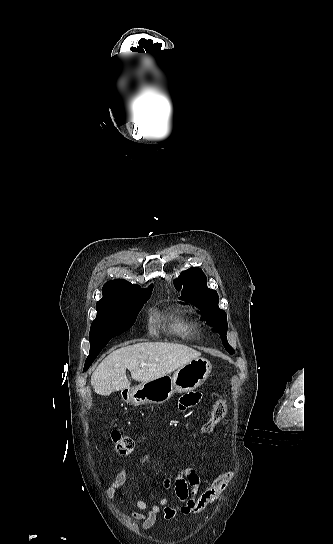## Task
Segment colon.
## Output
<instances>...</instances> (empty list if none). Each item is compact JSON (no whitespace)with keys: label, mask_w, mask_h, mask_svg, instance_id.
Listing matches in <instances>:
<instances>
[{"label":"colon","mask_w":333,"mask_h":544,"mask_svg":"<svg viewBox=\"0 0 333 544\" xmlns=\"http://www.w3.org/2000/svg\"><path fill=\"white\" fill-rule=\"evenodd\" d=\"M227 409L228 403L226 399H221L216 402L201 430L203 432H210L214 426L224 418ZM111 439L114 443L116 452L120 455L130 454L136 445L135 439L132 436L122 434L117 428L112 430Z\"/></svg>","instance_id":"obj_1"}]
</instances>
